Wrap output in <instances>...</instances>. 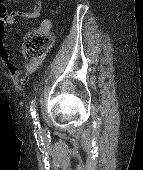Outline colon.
<instances>
[{"label":"colon","instance_id":"1","mask_svg":"<svg viewBox=\"0 0 143 170\" xmlns=\"http://www.w3.org/2000/svg\"><path fill=\"white\" fill-rule=\"evenodd\" d=\"M8 0H0V21L7 18ZM53 43V37L45 31L29 32L23 42V55L27 59H39L45 56Z\"/></svg>","mask_w":143,"mask_h":170}]
</instances>
